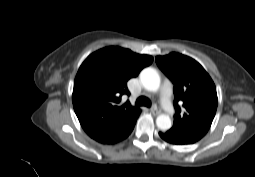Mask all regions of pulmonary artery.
Listing matches in <instances>:
<instances>
[{
	"label": "pulmonary artery",
	"instance_id": "obj_1",
	"mask_svg": "<svg viewBox=\"0 0 255 177\" xmlns=\"http://www.w3.org/2000/svg\"><path fill=\"white\" fill-rule=\"evenodd\" d=\"M173 87L172 83L165 81L160 90V101L163 109L168 113L172 114L174 112V106L172 103Z\"/></svg>",
	"mask_w": 255,
	"mask_h": 177
}]
</instances>
